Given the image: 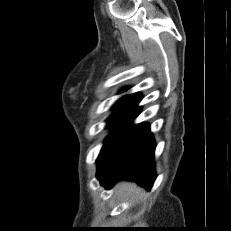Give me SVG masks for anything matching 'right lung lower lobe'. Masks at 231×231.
I'll list each match as a JSON object with an SVG mask.
<instances>
[{"mask_svg": "<svg viewBox=\"0 0 231 231\" xmlns=\"http://www.w3.org/2000/svg\"><path fill=\"white\" fill-rule=\"evenodd\" d=\"M155 142L149 125H129L114 137L97 158V178L106 188L128 179L150 189L156 178Z\"/></svg>", "mask_w": 231, "mask_h": 231, "instance_id": "right-lung-lower-lobe-1", "label": "right lung lower lobe"}]
</instances>
